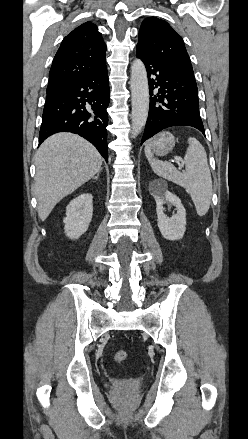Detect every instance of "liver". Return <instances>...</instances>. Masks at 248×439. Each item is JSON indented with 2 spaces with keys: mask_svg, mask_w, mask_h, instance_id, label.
I'll return each instance as SVG.
<instances>
[{
  "mask_svg": "<svg viewBox=\"0 0 248 439\" xmlns=\"http://www.w3.org/2000/svg\"><path fill=\"white\" fill-rule=\"evenodd\" d=\"M102 161L97 149L78 135L57 133L46 139L35 156L34 194L40 220L101 171Z\"/></svg>",
  "mask_w": 248,
  "mask_h": 439,
  "instance_id": "1",
  "label": "liver"
}]
</instances>
